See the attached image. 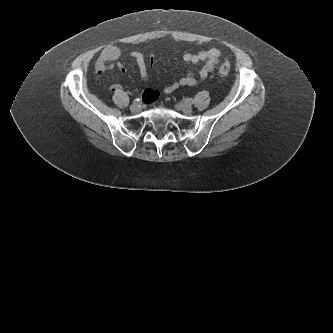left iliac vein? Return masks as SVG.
<instances>
[{
	"label": "left iliac vein",
	"mask_w": 333,
	"mask_h": 333,
	"mask_svg": "<svg viewBox=\"0 0 333 333\" xmlns=\"http://www.w3.org/2000/svg\"><path fill=\"white\" fill-rule=\"evenodd\" d=\"M176 107L179 109V110H181V111H183L184 113H186V114H190V113H192V107L189 105V104H186V103H184V102H179V103H177V105H176Z\"/></svg>",
	"instance_id": "1"
}]
</instances>
